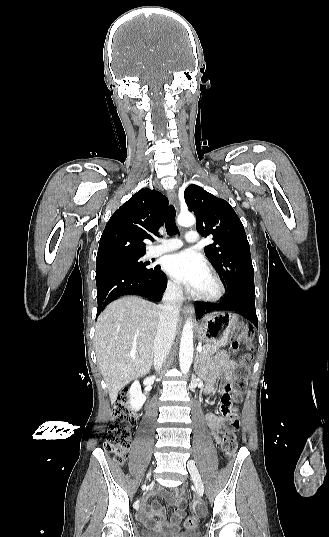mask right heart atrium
Returning a JSON list of instances; mask_svg holds the SVG:
<instances>
[{
	"label": "right heart atrium",
	"instance_id": "right-heart-atrium-1",
	"mask_svg": "<svg viewBox=\"0 0 329 537\" xmlns=\"http://www.w3.org/2000/svg\"><path fill=\"white\" fill-rule=\"evenodd\" d=\"M167 289L172 295L178 296L180 294V287L173 281H168Z\"/></svg>",
	"mask_w": 329,
	"mask_h": 537
}]
</instances>
